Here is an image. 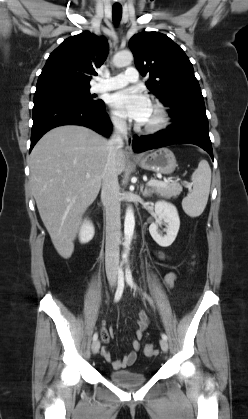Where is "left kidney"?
<instances>
[{"label":"left kidney","instance_id":"obj_1","mask_svg":"<svg viewBox=\"0 0 248 419\" xmlns=\"http://www.w3.org/2000/svg\"><path fill=\"white\" fill-rule=\"evenodd\" d=\"M155 213L158 219L149 226V232L158 245L168 247L174 242L179 231L180 219L178 211L173 204L166 201H158L155 203ZM162 222L166 223L167 227L166 235L164 236L158 232V225Z\"/></svg>","mask_w":248,"mask_h":419}]
</instances>
